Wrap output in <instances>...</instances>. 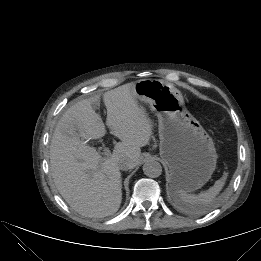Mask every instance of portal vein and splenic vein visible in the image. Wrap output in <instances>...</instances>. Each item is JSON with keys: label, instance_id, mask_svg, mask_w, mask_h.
Returning <instances> with one entry per match:
<instances>
[{"label": "portal vein and splenic vein", "instance_id": "18ae733b", "mask_svg": "<svg viewBox=\"0 0 261 261\" xmlns=\"http://www.w3.org/2000/svg\"><path fill=\"white\" fill-rule=\"evenodd\" d=\"M103 154H104L105 156H109V155H110V150H109V148H104Z\"/></svg>", "mask_w": 261, "mask_h": 261}]
</instances>
